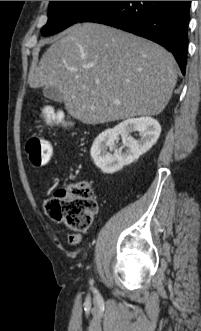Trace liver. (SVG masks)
<instances>
[{"label":"liver","instance_id":"obj_1","mask_svg":"<svg viewBox=\"0 0 201 331\" xmlns=\"http://www.w3.org/2000/svg\"><path fill=\"white\" fill-rule=\"evenodd\" d=\"M28 81L31 88L58 87L72 117L101 124L160 114L176 85V61L147 39L75 24L46 50Z\"/></svg>","mask_w":201,"mask_h":331}]
</instances>
